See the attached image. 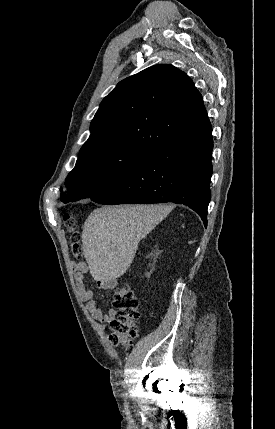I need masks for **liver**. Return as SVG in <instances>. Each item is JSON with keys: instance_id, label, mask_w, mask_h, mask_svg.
<instances>
[{"instance_id": "liver-1", "label": "liver", "mask_w": 275, "mask_h": 429, "mask_svg": "<svg viewBox=\"0 0 275 429\" xmlns=\"http://www.w3.org/2000/svg\"><path fill=\"white\" fill-rule=\"evenodd\" d=\"M166 205L104 206L90 213L82 232L84 257L96 281L112 282L130 267L139 241L168 213Z\"/></svg>"}]
</instances>
